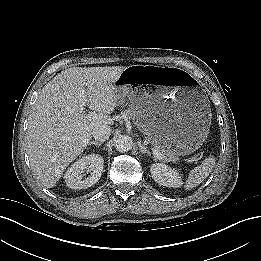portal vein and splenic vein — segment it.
Returning <instances> with one entry per match:
<instances>
[{
	"mask_svg": "<svg viewBox=\"0 0 261 261\" xmlns=\"http://www.w3.org/2000/svg\"><path fill=\"white\" fill-rule=\"evenodd\" d=\"M152 152L154 154V156L158 159V160H164L165 156L156 148L152 149Z\"/></svg>",
	"mask_w": 261,
	"mask_h": 261,
	"instance_id": "18ae733b",
	"label": "portal vein and splenic vein"
}]
</instances>
